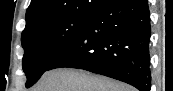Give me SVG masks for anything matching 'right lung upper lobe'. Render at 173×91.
I'll return each instance as SVG.
<instances>
[{
    "mask_svg": "<svg viewBox=\"0 0 173 91\" xmlns=\"http://www.w3.org/2000/svg\"><path fill=\"white\" fill-rule=\"evenodd\" d=\"M106 1L107 0H31L26 12L25 28L48 19L95 12Z\"/></svg>",
    "mask_w": 173,
    "mask_h": 91,
    "instance_id": "1",
    "label": "right lung upper lobe"
}]
</instances>
